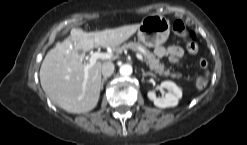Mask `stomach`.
Segmentation results:
<instances>
[{
	"label": "stomach",
	"instance_id": "0dacf381",
	"mask_svg": "<svg viewBox=\"0 0 247 145\" xmlns=\"http://www.w3.org/2000/svg\"><path fill=\"white\" fill-rule=\"evenodd\" d=\"M170 34V22L162 15L154 14L143 18L138 28V39L145 46L163 44Z\"/></svg>",
	"mask_w": 247,
	"mask_h": 145
}]
</instances>
